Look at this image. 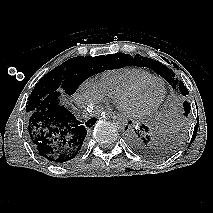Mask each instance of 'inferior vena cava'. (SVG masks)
<instances>
[{
    "instance_id": "1",
    "label": "inferior vena cava",
    "mask_w": 213,
    "mask_h": 213,
    "mask_svg": "<svg viewBox=\"0 0 213 213\" xmlns=\"http://www.w3.org/2000/svg\"><path fill=\"white\" fill-rule=\"evenodd\" d=\"M83 117H84L85 119H88V118L90 117V114H89L88 112H85V113L83 114Z\"/></svg>"
}]
</instances>
